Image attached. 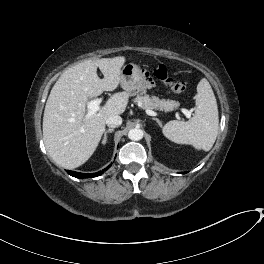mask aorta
I'll return each instance as SVG.
<instances>
[{
    "label": "aorta",
    "instance_id": "obj_1",
    "mask_svg": "<svg viewBox=\"0 0 264 264\" xmlns=\"http://www.w3.org/2000/svg\"><path fill=\"white\" fill-rule=\"evenodd\" d=\"M128 138L133 141H138L143 138V131L140 128H133L128 132Z\"/></svg>",
    "mask_w": 264,
    "mask_h": 264
}]
</instances>
